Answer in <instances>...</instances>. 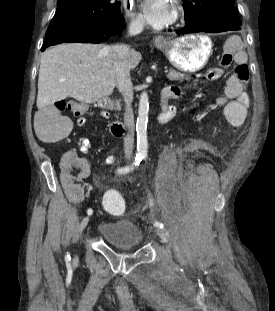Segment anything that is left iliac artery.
<instances>
[{"instance_id":"1","label":"left iliac artery","mask_w":275,"mask_h":311,"mask_svg":"<svg viewBox=\"0 0 275 311\" xmlns=\"http://www.w3.org/2000/svg\"><path fill=\"white\" fill-rule=\"evenodd\" d=\"M143 157L146 158V157H147V154H146V153L143 154ZM150 206H151V207L153 206V201H152V199H150ZM154 226L160 227V228H163V227H164L163 223H161V222H159V221H155V222H154Z\"/></svg>"}]
</instances>
